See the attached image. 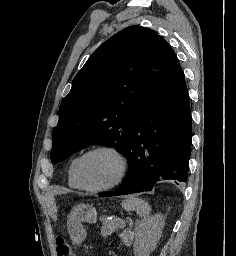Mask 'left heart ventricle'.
I'll use <instances>...</instances> for the list:
<instances>
[{"label": "left heart ventricle", "mask_w": 236, "mask_h": 256, "mask_svg": "<svg viewBox=\"0 0 236 256\" xmlns=\"http://www.w3.org/2000/svg\"><path fill=\"white\" fill-rule=\"evenodd\" d=\"M117 157L107 151L88 155L82 163V176L89 187H101L111 183L119 174Z\"/></svg>", "instance_id": "1"}]
</instances>
